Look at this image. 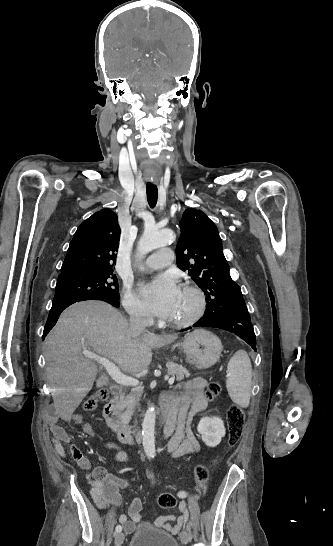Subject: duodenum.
<instances>
[{"label":"duodenum","mask_w":333,"mask_h":546,"mask_svg":"<svg viewBox=\"0 0 333 546\" xmlns=\"http://www.w3.org/2000/svg\"><path fill=\"white\" fill-rule=\"evenodd\" d=\"M121 392V387H111V398L104 408V417L108 428L118 441L125 444H134L136 441L134 431L131 426L124 423L119 410Z\"/></svg>","instance_id":"1"}]
</instances>
